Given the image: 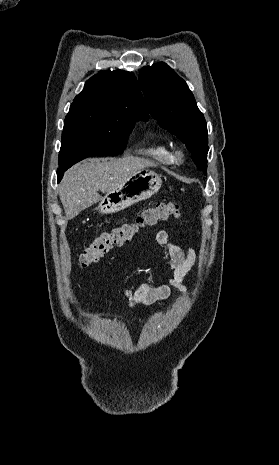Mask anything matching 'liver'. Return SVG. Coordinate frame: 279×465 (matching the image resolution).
<instances>
[{"mask_svg":"<svg viewBox=\"0 0 279 465\" xmlns=\"http://www.w3.org/2000/svg\"><path fill=\"white\" fill-rule=\"evenodd\" d=\"M154 164L146 159L125 156L122 158H91L67 170L59 186V197L66 219L102 200L98 191L109 193L130 176Z\"/></svg>","mask_w":279,"mask_h":465,"instance_id":"6515ba94","label":"liver"}]
</instances>
